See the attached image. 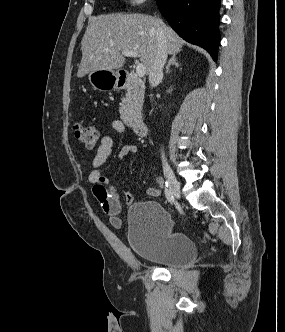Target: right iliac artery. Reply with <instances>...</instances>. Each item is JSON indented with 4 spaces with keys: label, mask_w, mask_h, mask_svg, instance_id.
<instances>
[{
    "label": "right iliac artery",
    "mask_w": 285,
    "mask_h": 332,
    "mask_svg": "<svg viewBox=\"0 0 285 332\" xmlns=\"http://www.w3.org/2000/svg\"><path fill=\"white\" fill-rule=\"evenodd\" d=\"M165 196L169 203L172 204L174 202V196L169 188V184L167 181L165 182Z\"/></svg>",
    "instance_id": "right-iliac-artery-1"
}]
</instances>
